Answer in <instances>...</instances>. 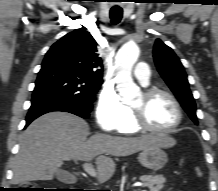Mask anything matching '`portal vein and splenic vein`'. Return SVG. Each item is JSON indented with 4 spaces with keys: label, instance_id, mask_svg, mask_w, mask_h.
<instances>
[{
    "label": "portal vein and splenic vein",
    "instance_id": "obj_1",
    "mask_svg": "<svg viewBox=\"0 0 218 191\" xmlns=\"http://www.w3.org/2000/svg\"><path fill=\"white\" fill-rule=\"evenodd\" d=\"M82 166L84 171L87 172L90 176L92 177L97 176V173L91 163H84ZM136 186H142V184H136ZM142 191H146V190H142Z\"/></svg>",
    "mask_w": 218,
    "mask_h": 191
}]
</instances>
